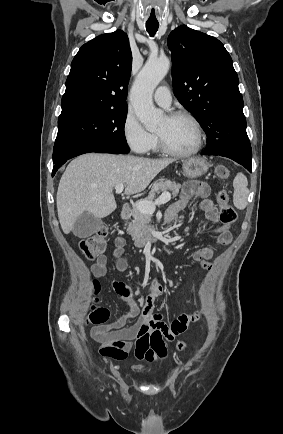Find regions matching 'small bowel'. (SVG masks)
<instances>
[{"label": "small bowel", "mask_w": 283, "mask_h": 434, "mask_svg": "<svg viewBox=\"0 0 283 434\" xmlns=\"http://www.w3.org/2000/svg\"><path fill=\"white\" fill-rule=\"evenodd\" d=\"M209 187L206 183L192 181L184 185L181 195L166 213L168 222L175 219L195 198L200 199V208L205 212L210 221L209 232L219 245L226 246L232 240V234L228 225H218V210L213 201L209 199ZM126 240L117 236L114 240L113 256L116 258L115 267L119 272L128 268V262L124 257ZM213 250L210 246H204L193 253V259L204 269H211ZM92 275L96 278L108 274V260L105 255L97 258L91 267ZM111 287L115 293L128 301L130 310L127 314L110 324L94 326L91 329L92 338L101 343L100 354L116 360H124L131 351L137 360L163 361L167 357L165 341H172L176 336L186 330L189 324L198 321L202 311L193 314H183L171 324H166L162 315L153 312L154 302L163 293V288L158 282H153L142 308L133 300V291L125 283L119 280H111ZM136 318L131 325L130 320Z\"/></svg>", "instance_id": "c3829d8e"}]
</instances>
